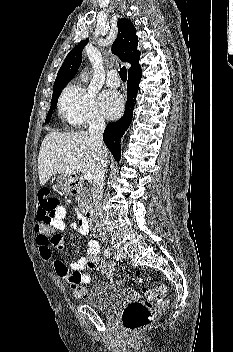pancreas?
Listing matches in <instances>:
<instances>
[{
	"mask_svg": "<svg viewBox=\"0 0 233 352\" xmlns=\"http://www.w3.org/2000/svg\"><path fill=\"white\" fill-rule=\"evenodd\" d=\"M78 197H79V209L82 212H84L85 210H87L89 208V205L91 202V194H90L88 188L83 187L82 182L80 183Z\"/></svg>",
	"mask_w": 233,
	"mask_h": 352,
	"instance_id": "obj_1",
	"label": "pancreas"
}]
</instances>
